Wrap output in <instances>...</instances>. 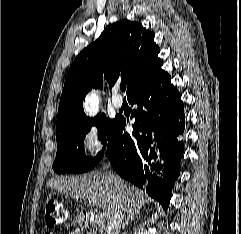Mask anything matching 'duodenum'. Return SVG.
I'll return each instance as SVG.
<instances>
[{"label":"duodenum","mask_w":241,"mask_h":234,"mask_svg":"<svg viewBox=\"0 0 241 234\" xmlns=\"http://www.w3.org/2000/svg\"><path fill=\"white\" fill-rule=\"evenodd\" d=\"M79 224L82 227H88L89 225V215L86 211H82L79 214Z\"/></svg>","instance_id":"410a0bca"}]
</instances>
